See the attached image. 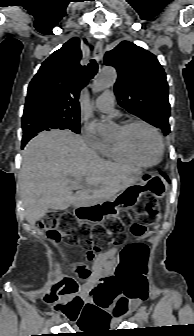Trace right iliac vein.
Masks as SVG:
<instances>
[{"label":"right iliac vein","instance_id":"1","mask_svg":"<svg viewBox=\"0 0 194 336\" xmlns=\"http://www.w3.org/2000/svg\"><path fill=\"white\" fill-rule=\"evenodd\" d=\"M53 321L55 324H59L61 319H60V316L59 315H55L54 318H53Z\"/></svg>","mask_w":194,"mask_h":336}]
</instances>
